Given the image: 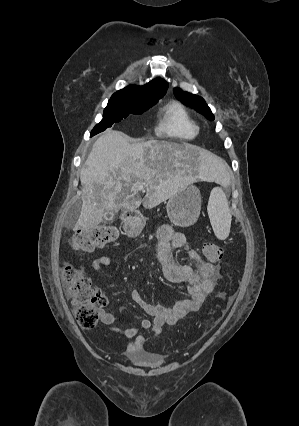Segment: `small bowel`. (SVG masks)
I'll return each instance as SVG.
<instances>
[{
	"label": "small bowel",
	"mask_w": 299,
	"mask_h": 426,
	"mask_svg": "<svg viewBox=\"0 0 299 426\" xmlns=\"http://www.w3.org/2000/svg\"><path fill=\"white\" fill-rule=\"evenodd\" d=\"M157 239V258L165 278L172 283L184 284L187 298L176 302L173 307L167 308L147 302L137 290H132L131 299L152 319H144L138 325L128 328L115 325L118 321H126L125 318L117 317L104 309L99 312L101 323L107 326L111 332L134 339L126 346L124 354L129 359L140 362H153L158 359L155 354L145 349L147 338L143 332L159 334L165 325H173L189 313L197 311L221 278L220 268L204 260L195 250H188L189 257L195 262V269L190 265L180 264L173 260L172 252L184 248L186 239L183 234L174 231L171 226L162 225L157 231ZM111 263V258L103 255L93 260L92 268L95 272L102 273Z\"/></svg>",
	"instance_id": "c3829d8e"
}]
</instances>
